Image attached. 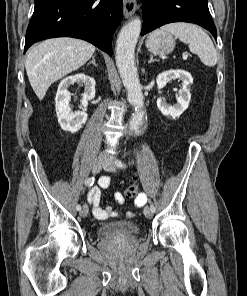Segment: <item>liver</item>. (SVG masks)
<instances>
[{"mask_svg":"<svg viewBox=\"0 0 247 296\" xmlns=\"http://www.w3.org/2000/svg\"><path fill=\"white\" fill-rule=\"evenodd\" d=\"M94 52L91 43L70 37L48 39L33 47L25 68L37 97L42 100L52 83L84 65Z\"/></svg>","mask_w":247,"mask_h":296,"instance_id":"1","label":"liver"}]
</instances>
